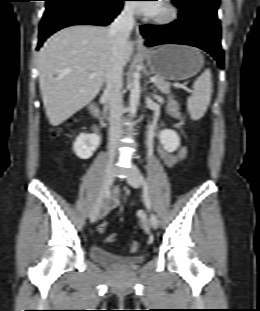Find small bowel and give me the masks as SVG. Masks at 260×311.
I'll use <instances>...</instances> for the list:
<instances>
[{
  "label": "small bowel",
  "mask_w": 260,
  "mask_h": 311,
  "mask_svg": "<svg viewBox=\"0 0 260 311\" xmlns=\"http://www.w3.org/2000/svg\"><path fill=\"white\" fill-rule=\"evenodd\" d=\"M167 113L168 115L173 119H179L180 112L177 103L170 99L167 106ZM158 154L160 159L163 161V163L167 167H173L176 165L179 161H181L185 155H186V148L181 147L175 152L169 151L168 149L160 146L158 148ZM120 203V192L118 187H115L110 195L108 196L106 202H105V208L104 213H107L109 210H112L116 207H118Z\"/></svg>",
  "instance_id": "obj_1"
}]
</instances>
